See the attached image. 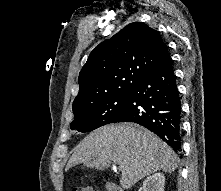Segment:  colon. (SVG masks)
Masks as SVG:
<instances>
[{"label": "colon", "mask_w": 221, "mask_h": 191, "mask_svg": "<svg viewBox=\"0 0 221 191\" xmlns=\"http://www.w3.org/2000/svg\"><path fill=\"white\" fill-rule=\"evenodd\" d=\"M72 191H94V190L85 185H75Z\"/></svg>", "instance_id": "5ec220e1"}]
</instances>
